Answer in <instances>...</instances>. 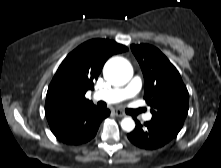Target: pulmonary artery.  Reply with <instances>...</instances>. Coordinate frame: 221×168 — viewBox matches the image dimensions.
<instances>
[{
	"label": "pulmonary artery",
	"mask_w": 221,
	"mask_h": 168,
	"mask_svg": "<svg viewBox=\"0 0 221 168\" xmlns=\"http://www.w3.org/2000/svg\"><path fill=\"white\" fill-rule=\"evenodd\" d=\"M141 85V78L135 76L127 86L98 91L94 94V98L107 103H119L125 99L134 97L140 91ZM151 117L150 113L144 115L145 120H150Z\"/></svg>",
	"instance_id": "e3ab8cb5"
}]
</instances>
